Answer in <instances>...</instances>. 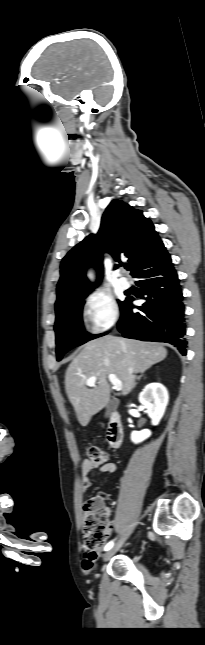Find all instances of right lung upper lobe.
<instances>
[{"mask_svg":"<svg viewBox=\"0 0 205 645\" xmlns=\"http://www.w3.org/2000/svg\"><path fill=\"white\" fill-rule=\"evenodd\" d=\"M103 252H108L118 262L121 256L127 257L133 267V277L169 255L154 225L141 211L120 200H113L102 216L98 233L87 236L62 260L56 314L86 295L88 289L96 287L85 274L89 265H95L101 279Z\"/></svg>","mask_w":205,"mask_h":645,"instance_id":"cb5924a9","label":"right lung upper lobe"}]
</instances>
